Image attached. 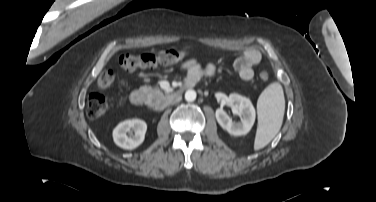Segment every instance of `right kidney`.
Segmentation results:
<instances>
[{
	"instance_id": "obj_1",
	"label": "right kidney",
	"mask_w": 376,
	"mask_h": 202,
	"mask_svg": "<svg viewBox=\"0 0 376 202\" xmlns=\"http://www.w3.org/2000/svg\"><path fill=\"white\" fill-rule=\"evenodd\" d=\"M146 130L147 124L143 120H125L114 128L113 140L117 146L132 150L144 141ZM127 133L129 134L127 135Z\"/></svg>"
}]
</instances>
